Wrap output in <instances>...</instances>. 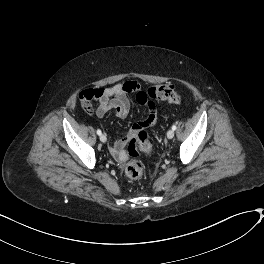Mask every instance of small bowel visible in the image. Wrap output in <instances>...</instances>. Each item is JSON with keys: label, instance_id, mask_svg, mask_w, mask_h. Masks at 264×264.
<instances>
[{"label": "small bowel", "instance_id": "c3829d8e", "mask_svg": "<svg viewBox=\"0 0 264 264\" xmlns=\"http://www.w3.org/2000/svg\"><path fill=\"white\" fill-rule=\"evenodd\" d=\"M142 90V86L136 80H128L121 83H116L108 88H98L93 92V99L96 106V116L101 118L111 109L115 110V113L120 118H125L130 111V100L128 96L132 93H136ZM148 116L141 122L140 127H153L157 120V107L155 104L147 106ZM137 123L129 130L127 135L121 139L114 140L110 143L108 149L112 157L122 162L127 158L123 149L127 142L133 140L138 134Z\"/></svg>", "mask_w": 264, "mask_h": 264}]
</instances>
